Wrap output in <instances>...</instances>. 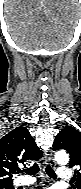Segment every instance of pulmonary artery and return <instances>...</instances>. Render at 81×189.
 Returning <instances> with one entry per match:
<instances>
[{"instance_id":"pulmonary-artery-1","label":"pulmonary artery","mask_w":81,"mask_h":189,"mask_svg":"<svg viewBox=\"0 0 81 189\" xmlns=\"http://www.w3.org/2000/svg\"><path fill=\"white\" fill-rule=\"evenodd\" d=\"M57 177L61 181H69L72 178V170L68 167H59L57 169ZM34 178L19 177L15 181L17 186H27L35 183Z\"/></svg>"}]
</instances>
